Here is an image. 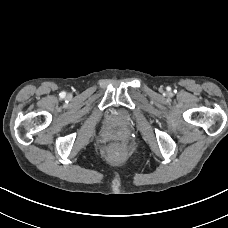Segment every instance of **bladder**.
<instances>
[{
  "mask_svg": "<svg viewBox=\"0 0 228 228\" xmlns=\"http://www.w3.org/2000/svg\"><path fill=\"white\" fill-rule=\"evenodd\" d=\"M108 119L118 124H127L129 122V115L123 110H115L109 113Z\"/></svg>",
  "mask_w": 228,
  "mask_h": 228,
  "instance_id": "bladder-1",
  "label": "bladder"
}]
</instances>
